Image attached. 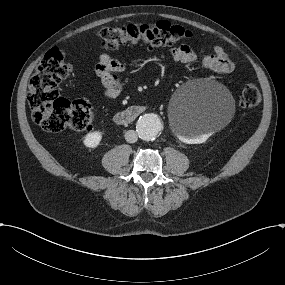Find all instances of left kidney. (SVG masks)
<instances>
[{"label":"left kidney","mask_w":285,"mask_h":285,"mask_svg":"<svg viewBox=\"0 0 285 285\" xmlns=\"http://www.w3.org/2000/svg\"><path fill=\"white\" fill-rule=\"evenodd\" d=\"M209 136H210L209 133H205L195 138H189L187 140V143L188 144H201V143H204L209 138Z\"/></svg>","instance_id":"5707ae66"}]
</instances>
